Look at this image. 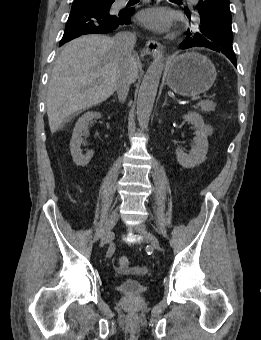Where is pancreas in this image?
I'll list each match as a JSON object with an SVG mask.
<instances>
[{"label":"pancreas","instance_id":"pancreas-1","mask_svg":"<svg viewBox=\"0 0 261 340\" xmlns=\"http://www.w3.org/2000/svg\"><path fill=\"white\" fill-rule=\"evenodd\" d=\"M216 104L210 100H202L197 104V108H200L202 112L210 113L215 110Z\"/></svg>","mask_w":261,"mask_h":340}]
</instances>
